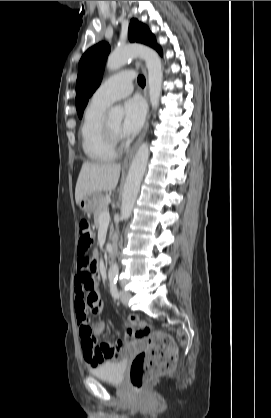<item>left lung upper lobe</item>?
Here are the masks:
<instances>
[{
	"label": "left lung upper lobe",
	"instance_id": "obj_1",
	"mask_svg": "<svg viewBox=\"0 0 271 418\" xmlns=\"http://www.w3.org/2000/svg\"><path fill=\"white\" fill-rule=\"evenodd\" d=\"M128 38L131 42L143 43L155 49L159 48L148 27L137 19L131 20ZM109 52V44L100 42L89 48L79 62L76 82V108L79 118L83 115L88 98L101 83L105 60Z\"/></svg>",
	"mask_w": 271,
	"mask_h": 418
}]
</instances>
